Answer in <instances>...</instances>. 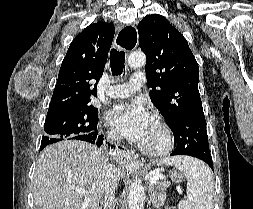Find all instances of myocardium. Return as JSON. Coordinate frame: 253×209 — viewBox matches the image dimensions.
I'll use <instances>...</instances> for the list:
<instances>
[{"label":"myocardium","instance_id":"1","mask_svg":"<svg viewBox=\"0 0 253 209\" xmlns=\"http://www.w3.org/2000/svg\"><path fill=\"white\" fill-rule=\"evenodd\" d=\"M154 121L161 127L164 133V144L159 148H148L141 143L138 144V149L147 156L160 157L167 154L174 145L173 132L168 123L159 116H155Z\"/></svg>","mask_w":253,"mask_h":209}]
</instances>
